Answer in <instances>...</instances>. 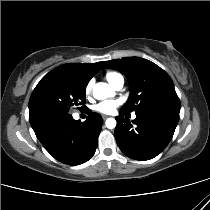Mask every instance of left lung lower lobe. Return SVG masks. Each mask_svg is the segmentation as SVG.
<instances>
[{"mask_svg": "<svg viewBox=\"0 0 210 210\" xmlns=\"http://www.w3.org/2000/svg\"><path fill=\"white\" fill-rule=\"evenodd\" d=\"M120 110L115 119V138L120 150L135 160H149L156 157L168 145L179 121V112L165 109H151L136 113L131 124Z\"/></svg>", "mask_w": 210, "mask_h": 210, "instance_id": "1", "label": "left lung lower lobe"}]
</instances>
